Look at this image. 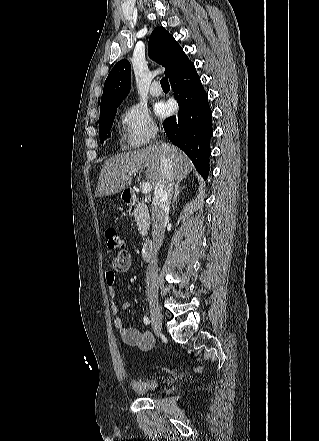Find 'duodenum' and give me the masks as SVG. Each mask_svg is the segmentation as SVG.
I'll use <instances>...</instances> for the list:
<instances>
[{
    "label": "duodenum",
    "mask_w": 319,
    "mask_h": 441,
    "mask_svg": "<svg viewBox=\"0 0 319 441\" xmlns=\"http://www.w3.org/2000/svg\"><path fill=\"white\" fill-rule=\"evenodd\" d=\"M123 197L125 202H127L128 204H134L137 202V196L135 192L132 190H125ZM155 253H156L155 244L150 240L144 241L141 248V254L143 259L147 262H151L155 257Z\"/></svg>",
    "instance_id": "410a0bca"
}]
</instances>
